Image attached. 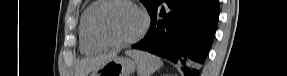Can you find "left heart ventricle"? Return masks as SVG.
Returning a JSON list of instances; mask_svg holds the SVG:
<instances>
[{
	"label": "left heart ventricle",
	"mask_w": 287,
	"mask_h": 76,
	"mask_svg": "<svg viewBox=\"0 0 287 76\" xmlns=\"http://www.w3.org/2000/svg\"><path fill=\"white\" fill-rule=\"evenodd\" d=\"M142 24V16L135 8L116 3L109 6L101 15L99 29L106 38L119 41L135 36Z\"/></svg>",
	"instance_id": "1"
}]
</instances>
